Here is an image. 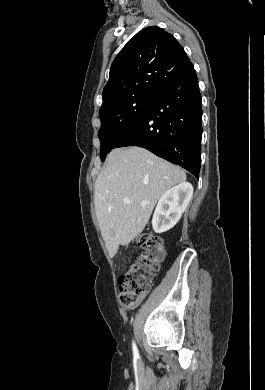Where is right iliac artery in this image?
Masks as SVG:
<instances>
[{
	"label": "right iliac artery",
	"instance_id": "right-iliac-artery-1",
	"mask_svg": "<svg viewBox=\"0 0 265 390\" xmlns=\"http://www.w3.org/2000/svg\"><path fill=\"white\" fill-rule=\"evenodd\" d=\"M132 346H133V355H134V358H135V359H138V358H139V353H138V349H137V346H136V344H135L134 341L132 342Z\"/></svg>",
	"mask_w": 265,
	"mask_h": 390
}]
</instances>
